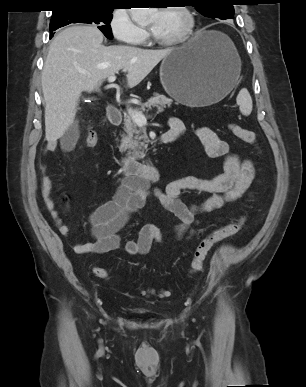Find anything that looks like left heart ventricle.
<instances>
[{
	"label": "left heart ventricle",
	"mask_w": 306,
	"mask_h": 387,
	"mask_svg": "<svg viewBox=\"0 0 306 387\" xmlns=\"http://www.w3.org/2000/svg\"><path fill=\"white\" fill-rule=\"evenodd\" d=\"M149 24L156 25L154 35L159 39L178 36L186 25L185 16L177 9H160L152 13Z\"/></svg>",
	"instance_id": "left-heart-ventricle-1"
}]
</instances>
